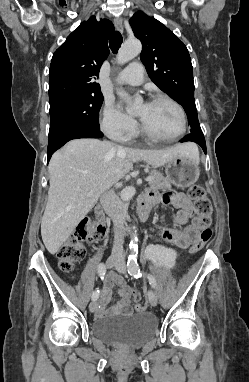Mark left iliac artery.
<instances>
[{"label":"left iliac artery","mask_w":249,"mask_h":382,"mask_svg":"<svg viewBox=\"0 0 249 382\" xmlns=\"http://www.w3.org/2000/svg\"><path fill=\"white\" fill-rule=\"evenodd\" d=\"M137 252L130 255L129 258H128V262H127V268H128V273L132 276H134L135 278H139L142 276V273L140 272V268H139V265L137 263ZM147 279L149 281V284L155 288L156 287V280L155 278L150 275V274H147Z\"/></svg>","instance_id":"left-iliac-artery-1"}]
</instances>
